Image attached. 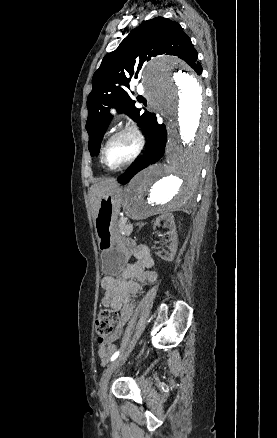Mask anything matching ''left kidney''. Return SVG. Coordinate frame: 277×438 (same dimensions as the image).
<instances>
[{"instance_id": "5707ae66", "label": "left kidney", "mask_w": 277, "mask_h": 438, "mask_svg": "<svg viewBox=\"0 0 277 438\" xmlns=\"http://www.w3.org/2000/svg\"><path fill=\"white\" fill-rule=\"evenodd\" d=\"M163 220H166V222H169L170 224V240L171 244L169 246L170 254H165V256H160L162 260H165V262H172L175 258L177 246H178V238H177V232H176V226L174 222V216L173 214H168V212H165V214H161L159 218H156V222H154V230H156V226L160 224V222H163Z\"/></svg>"}]
</instances>
